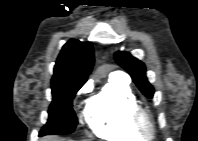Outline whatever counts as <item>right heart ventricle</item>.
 Returning a JSON list of instances; mask_svg holds the SVG:
<instances>
[{
    "label": "right heart ventricle",
    "mask_w": 198,
    "mask_h": 141,
    "mask_svg": "<svg viewBox=\"0 0 198 141\" xmlns=\"http://www.w3.org/2000/svg\"><path fill=\"white\" fill-rule=\"evenodd\" d=\"M136 98L127 81L110 78L84 110V119L98 137L110 141H139L130 121Z\"/></svg>",
    "instance_id": "right-heart-ventricle-1"
}]
</instances>
